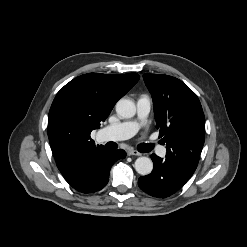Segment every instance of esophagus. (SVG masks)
<instances>
[{
	"mask_svg": "<svg viewBox=\"0 0 247 247\" xmlns=\"http://www.w3.org/2000/svg\"><path fill=\"white\" fill-rule=\"evenodd\" d=\"M127 153L130 156H141V153L140 152H138L137 150H133V149L128 150Z\"/></svg>",
	"mask_w": 247,
	"mask_h": 247,
	"instance_id": "1",
	"label": "esophagus"
}]
</instances>
